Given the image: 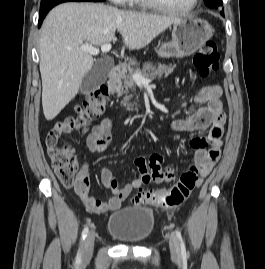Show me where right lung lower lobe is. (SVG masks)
<instances>
[{"instance_id":"98d812e1","label":"right lung lower lobe","mask_w":265,"mask_h":269,"mask_svg":"<svg viewBox=\"0 0 265 269\" xmlns=\"http://www.w3.org/2000/svg\"><path fill=\"white\" fill-rule=\"evenodd\" d=\"M103 1L105 0H41L38 27L41 26V23L45 18L46 14L49 12V10H51L57 4L64 2H103Z\"/></svg>"}]
</instances>
